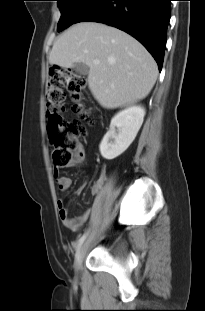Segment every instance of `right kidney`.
<instances>
[{
  "instance_id": "right-kidney-1",
  "label": "right kidney",
  "mask_w": 205,
  "mask_h": 311,
  "mask_svg": "<svg viewBox=\"0 0 205 311\" xmlns=\"http://www.w3.org/2000/svg\"><path fill=\"white\" fill-rule=\"evenodd\" d=\"M144 116L145 109L136 105L118 112L112 118L110 129L100 143L99 149L102 157L112 160L127 150L134 141L143 123ZM111 139L113 141H110Z\"/></svg>"
}]
</instances>
